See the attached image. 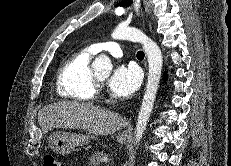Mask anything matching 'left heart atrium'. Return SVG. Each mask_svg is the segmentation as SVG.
<instances>
[{
    "instance_id": "39dd6f15",
    "label": "left heart atrium",
    "mask_w": 231,
    "mask_h": 166,
    "mask_svg": "<svg viewBox=\"0 0 231 166\" xmlns=\"http://www.w3.org/2000/svg\"><path fill=\"white\" fill-rule=\"evenodd\" d=\"M140 84L141 73L134 65L118 66L108 80V86L112 93L123 98H128L133 95Z\"/></svg>"
}]
</instances>
